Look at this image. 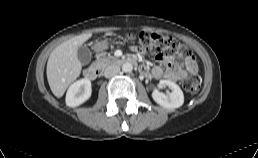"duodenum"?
<instances>
[{"label":"duodenum","mask_w":258,"mask_h":158,"mask_svg":"<svg viewBox=\"0 0 258 158\" xmlns=\"http://www.w3.org/2000/svg\"><path fill=\"white\" fill-rule=\"evenodd\" d=\"M117 64H135V61L131 58L116 59L114 61ZM102 73V69L99 66H90L84 70V77L88 80H95Z\"/></svg>","instance_id":"1"}]
</instances>
